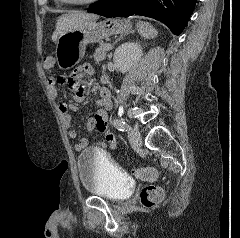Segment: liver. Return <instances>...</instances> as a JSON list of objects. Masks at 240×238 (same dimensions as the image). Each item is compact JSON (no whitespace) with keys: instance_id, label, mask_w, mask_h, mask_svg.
Segmentation results:
<instances>
[{"instance_id":"6515ba94","label":"liver","mask_w":240,"mask_h":238,"mask_svg":"<svg viewBox=\"0 0 240 238\" xmlns=\"http://www.w3.org/2000/svg\"><path fill=\"white\" fill-rule=\"evenodd\" d=\"M98 18L95 14L85 12H71L64 14L58 18L56 23V30L53 33L52 40L55 41L58 35H61L67 31H71L81 27L84 23L96 20Z\"/></svg>"}]
</instances>
